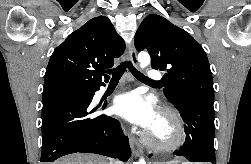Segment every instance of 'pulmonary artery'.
Returning a JSON list of instances; mask_svg holds the SVG:
<instances>
[{"label":"pulmonary artery","mask_w":251,"mask_h":164,"mask_svg":"<svg viewBox=\"0 0 251 164\" xmlns=\"http://www.w3.org/2000/svg\"><path fill=\"white\" fill-rule=\"evenodd\" d=\"M148 78L153 80V81H157L160 80L162 78V75L160 72L156 71V70H150L148 72ZM107 90V87H102L99 91V94H103L105 91Z\"/></svg>","instance_id":"1"}]
</instances>
